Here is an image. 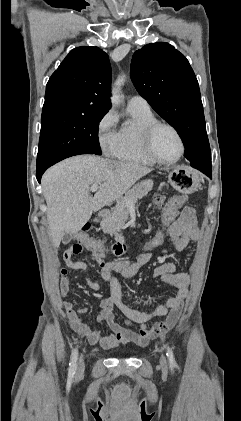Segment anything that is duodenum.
<instances>
[{"mask_svg":"<svg viewBox=\"0 0 241 421\" xmlns=\"http://www.w3.org/2000/svg\"><path fill=\"white\" fill-rule=\"evenodd\" d=\"M109 215H110L109 210H101L97 214L96 220L97 221H100L102 219L107 218ZM109 247H114L116 249V254L117 255L122 254L125 251V246L122 243H120V242H115V243L109 244Z\"/></svg>","mask_w":241,"mask_h":421,"instance_id":"1","label":"duodenum"}]
</instances>
